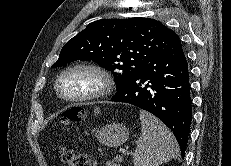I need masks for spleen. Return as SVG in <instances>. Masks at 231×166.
Returning <instances> with one entry per match:
<instances>
[{
  "mask_svg": "<svg viewBox=\"0 0 231 166\" xmlns=\"http://www.w3.org/2000/svg\"><path fill=\"white\" fill-rule=\"evenodd\" d=\"M142 135L133 155L134 166H159L179 157L173 133L155 116L140 110Z\"/></svg>",
  "mask_w": 231,
  "mask_h": 166,
  "instance_id": "3e777b00",
  "label": "spleen"
}]
</instances>
